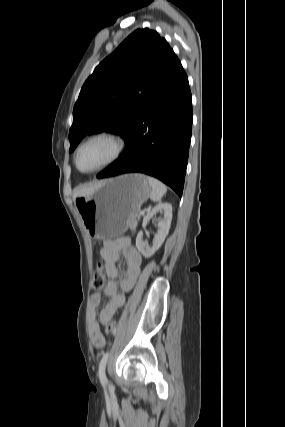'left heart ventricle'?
<instances>
[{
  "label": "left heart ventricle",
  "instance_id": "obj_1",
  "mask_svg": "<svg viewBox=\"0 0 285 427\" xmlns=\"http://www.w3.org/2000/svg\"><path fill=\"white\" fill-rule=\"evenodd\" d=\"M115 144L108 139H97L83 147L79 154V167L92 170L105 163L114 153Z\"/></svg>",
  "mask_w": 285,
  "mask_h": 427
}]
</instances>
